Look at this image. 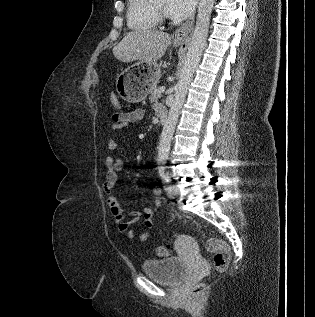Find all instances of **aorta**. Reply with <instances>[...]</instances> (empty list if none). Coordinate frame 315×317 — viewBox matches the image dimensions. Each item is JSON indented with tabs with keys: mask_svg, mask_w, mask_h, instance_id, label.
I'll use <instances>...</instances> for the list:
<instances>
[{
	"mask_svg": "<svg viewBox=\"0 0 315 317\" xmlns=\"http://www.w3.org/2000/svg\"><path fill=\"white\" fill-rule=\"evenodd\" d=\"M214 2L215 0L199 1L195 29L180 73L179 81L175 86L174 100L161 133L158 147V161H165L169 156L171 140L180 110L206 44Z\"/></svg>",
	"mask_w": 315,
	"mask_h": 317,
	"instance_id": "762f6f07",
	"label": "aorta"
}]
</instances>
